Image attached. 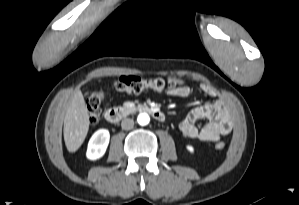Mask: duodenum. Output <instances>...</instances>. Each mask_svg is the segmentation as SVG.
<instances>
[{
	"label": "duodenum",
	"instance_id": "duodenum-1",
	"mask_svg": "<svg viewBox=\"0 0 299 205\" xmlns=\"http://www.w3.org/2000/svg\"><path fill=\"white\" fill-rule=\"evenodd\" d=\"M133 112H144L150 114L152 117H154L158 121H164L165 120V115L164 113L156 108L152 107L150 105H137L134 107L131 106H124V107H112L108 108L105 111V119L108 122L111 123H118L122 119L126 118L128 115H130Z\"/></svg>",
	"mask_w": 299,
	"mask_h": 205
}]
</instances>
